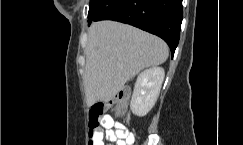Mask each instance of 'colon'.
I'll return each instance as SVG.
<instances>
[{
    "mask_svg": "<svg viewBox=\"0 0 243 145\" xmlns=\"http://www.w3.org/2000/svg\"><path fill=\"white\" fill-rule=\"evenodd\" d=\"M127 101L128 93L126 91H121L113 100L107 103H95L89 111L90 137L92 138L94 131L99 128L100 120L108 115V112L116 115L123 114ZM90 145H92V141Z\"/></svg>",
    "mask_w": 243,
    "mask_h": 145,
    "instance_id": "obj_1",
    "label": "colon"
}]
</instances>
